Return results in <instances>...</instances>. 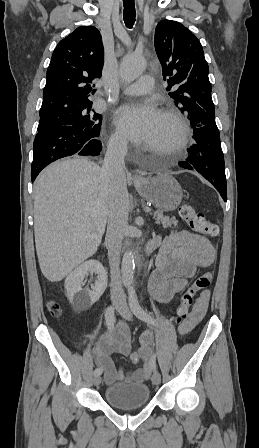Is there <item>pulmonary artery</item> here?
I'll list each match as a JSON object with an SVG mask.
<instances>
[{
  "label": "pulmonary artery",
  "mask_w": 259,
  "mask_h": 448,
  "mask_svg": "<svg viewBox=\"0 0 259 448\" xmlns=\"http://www.w3.org/2000/svg\"><path fill=\"white\" fill-rule=\"evenodd\" d=\"M120 70L123 75L130 80L143 79L152 81L153 77L149 75H142L144 66L136 61L135 56L127 54L120 62ZM150 88H135L132 85H124L121 87V93L125 95H139L148 92Z\"/></svg>",
  "instance_id": "obj_1"
}]
</instances>
